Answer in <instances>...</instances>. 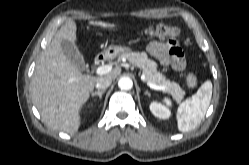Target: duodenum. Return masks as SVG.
Returning <instances> with one entry per match:
<instances>
[{
    "instance_id": "1",
    "label": "duodenum",
    "mask_w": 249,
    "mask_h": 165,
    "mask_svg": "<svg viewBox=\"0 0 249 165\" xmlns=\"http://www.w3.org/2000/svg\"><path fill=\"white\" fill-rule=\"evenodd\" d=\"M107 56L105 54H100L96 59H95V64L100 65L106 60Z\"/></svg>"
}]
</instances>
